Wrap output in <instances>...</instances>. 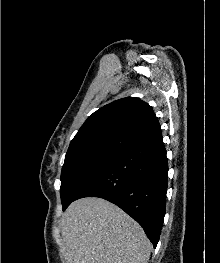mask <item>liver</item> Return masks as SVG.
Masks as SVG:
<instances>
[{
    "label": "liver",
    "instance_id": "6515ba94",
    "mask_svg": "<svg viewBox=\"0 0 220 263\" xmlns=\"http://www.w3.org/2000/svg\"><path fill=\"white\" fill-rule=\"evenodd\" d=\"M66 263H148L151 243L141 226L101 198L72 202L62 215Z\"/></svg>",
    "mask_w": 220,
    "mask_h": 263
}]
</instances>
